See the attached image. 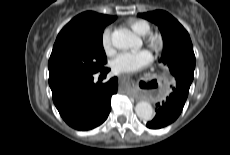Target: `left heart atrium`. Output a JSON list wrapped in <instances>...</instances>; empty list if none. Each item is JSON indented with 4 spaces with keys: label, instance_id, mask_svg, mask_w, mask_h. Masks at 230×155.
I'll use <instances>...</instances> for the list:
<instances>
[{
    "label": "left heart atrium",
    "instance_id": "1",
    "mask_svg": "<svg viewBox=\"0 0 230 155\" xmlns=\"http://www.w3.org/2000/svg\"><path fill=\"white\" fill-rule=\"evenodd\" d=\"M152 59V53L146 49L124 51L112 60L111 67L116 73H133L147 66Z\"/></svg>",
    "mask_w": 230,
    "mask_h": 155
}]
</instances>
